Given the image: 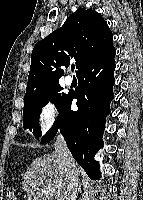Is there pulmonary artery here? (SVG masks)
Instances as JSON below:
<instances>
[{"instance_id": "e3ab8cb5", "label": "pulmonary artery", "mask_w": 143, "mask_h": 200, "mask_svg": "<svg viewBox=\"0 0 143 200\" xmlns=\"http://www.w3.org/2000/svg\"><path fill=\"white\" fill-rule=\"evenodd\" d=\"M72 82H73V79H72L71 76H67V77L65 78V83H66L67 85H71Z\"/></svg>"}]
</instances>
